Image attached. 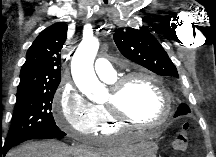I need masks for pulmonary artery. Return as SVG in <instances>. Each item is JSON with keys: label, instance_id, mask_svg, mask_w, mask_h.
Wrapping results in <instances>:
<instances>
[{"label": "pulmonary artery", "instance_id": "pulmonary-artery-1", "mask_svg": "<svg viewBox=\"0 0 216 157\" xmlns=\"http://www.w3.org/2000/svg\"><path fill=\"white\" fill-rule=\"evenodd\" d=\"M94 69L96 74L103 80L110 81L114 79L115 70L108 59L98 58L95 61Z\"/></svg>", "mask_w": 216, "mask_h": 157}]
</instances>
